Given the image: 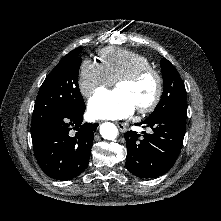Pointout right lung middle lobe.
Returning a JSON list of instances; mask_svg holds the SVG:
<instances>
[{
  "instance_id": "obj_1",
  "label": "right lung middle lobe",
  "mask_w": 221,
  "mask_h": 221,
  "mask_svg": "<svg viewBox=\"0 0 221 221\" xmlns=\"http://www.w3.org/2000/svg\"><path fill=\"white\" fill-rule=\"evenodd\" d=\"M80 51L77 48L67 54L46 77L35 101L31 132L54 116L85 108L78 85Z\"/></svg>"
}]
</instances>
